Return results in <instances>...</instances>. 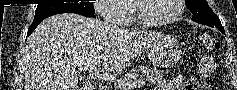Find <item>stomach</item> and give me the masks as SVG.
Returning <instances> with one entry per match:
<instances>
[{"label":"stomach","instance_id":"obj_1","mask_svg":"<svg viewBox=\"0 0 237 90\" xmlns=\"http://www.w3.org/2000/svg\"><path fill=\"white\" fill-rule=\"evenodd\" d=\"M149 56L154 65L170 67L179 60L181 51L173 45L164 46V44H160L150 48Z\"/></svg>","mask_w":237,"mask_h":90}]
</instances>
